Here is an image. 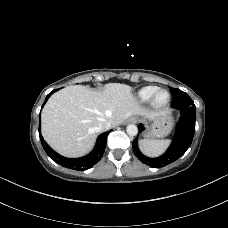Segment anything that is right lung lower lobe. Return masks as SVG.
<instances>
[{
    "label": "right lung lower lobe",
    "instance_id": "obj_1",
    "mask_svg": "<svg viewBox=\"0 0 228 228\" xmlns=\"http://www.w3.org/2000/svg\"><path fill=\"white\" fill-rule=\"evenodd\" d=\"M57 90H53L51 93H49L47 95L44 104L46 103V101L48 100L50 95L53 94ZM44 104H43V106H44ZM108 134H109V132H105L98 136L96 145L90 154H88L84 157H81V158L71 159V158H66V157L59 155L58 153H56L54 150H52L49 147V145L42 138V135L40 133V125H39L40 140H41L42 146H43L45 152L47 153V155L51 159H53L56 163H58L64 167L79 170V171H83V170H87V169L91 168L94 164H96L101 159V157L105 151Z\"/></svg>",
    "mask_w": 228,
    "mask_h": 228
}]
</instances>
